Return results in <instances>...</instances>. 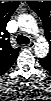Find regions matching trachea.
I'll return each instance as SVG.
<instances>
[{
    "instance_id": "3493384b",
    "label": "trachea",
    "mask_w": 51,
    "mask_h": 101,
    "mask_svg": "<svg viewBox=\"0 0 51 101\" xmlns=\"http://www.w3.org/2000/svg\"><path fill=\"white\" fill-rule=\"evenodd\" d=\"M16 41L19 45H22V44H29L30 40L28 37L26 36H23V35H19L17 38H16Z\"/></svg>"
}]
</instances>
